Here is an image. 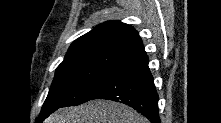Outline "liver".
I'll return each instance as SVG.
<instances>
[{"mask_svg": "<svg viewBox=\"0 0 221 123\" xmlns=\"http://www.w3.org/2000/svg\"><path fill=\"white\" fill-rule=\"evenodd\" d=\"M45 123H148L132 108L109 100H93L86 104L62 108Z\"/></svg>", "mask_w": 221, "mask_h": 123, "instance_id": "1", "label": "liver"}]
</instances>
